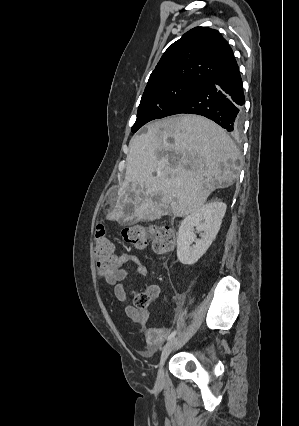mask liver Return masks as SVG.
Listing matches in <instances>:
<instances>
[{
	"label": "liver",
	"instance_id": "1",
	"mask_svg": "<svg viewBox=\"0 0 299 426\" xmlns=\"http://www.w3.org/2000/svg\"><path fill=\"white\" fill-rule=\"evenodd\" d=\"M129 143L125 180L108 220L134 206L137 220L154 221L173 213L196 212L216 188L237 178L239 151L229 135L199 115H178L152 122Z\"/></svg>",
	"mask_w": 299,
	"mask_h": 426
}]
</instances>
